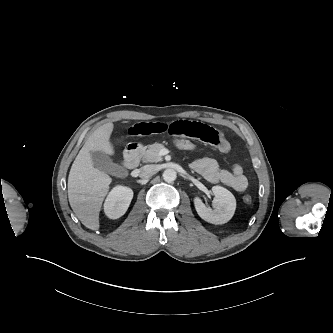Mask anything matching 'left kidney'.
<instances>
[{
    "label": "left kidney",
    "instance_id": "1",
    "mask_svg": "<svg viewBox=\"0 0 333 333\" xmlns=\"http://www.w3.org/2000/svg\"><path fill=\"white\" fill-rule=\"evenodd\" d=\"M214 209L207 207L199 197L194 198V205L198 215L205 221L220 225L227 223L234 215L236 199L226 188L214 186Z\"/></svg>",
    "mask_w": 333,
    "mask_h": 333
}]
</instances>
